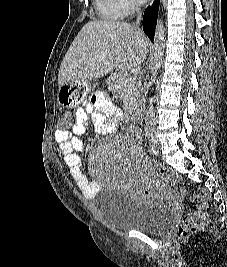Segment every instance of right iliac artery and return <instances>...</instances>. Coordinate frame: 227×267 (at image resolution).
Returning <instances> with one entry per match:
<instances>
[{"label": "right iliac artery", "mask_w": 227, "mask_h": 267, "mask_svg": "<svg viewBox=\"0 0 227 267\" xmlns=\"http://www.w3.org/2000/svg\"><path fill=\"white\" fill-rule=\"evenodd\" d=\"M148 152H149L150 154L155 153L154 147H153L151 144L148 146Z\"/></svg>", "instance_id": "82829eb1"}]
</instances>
